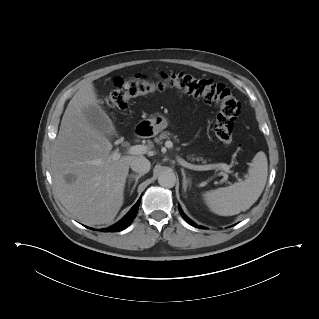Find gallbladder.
I'll return each mask as SVG.
<instances>
[{
	"mask_svg": "<svg viewBox=\"0 0 319 319\" xmlns=\"http://www.w3.org/2000/svg\"><path fill=\"white\" fill-rule=\"evenodd\" d=\"M85 116L89 123L93 125L95 129L102 132L107 138H111L115 134V129L110 119L105 116L99 108L91 106L85 111Z\"/></svg>",
	"mask_w": 319,
	"mask_h": 319,
	"instance_id": "obj_1",
	"label": "gallbladder"
}]
</instances>
